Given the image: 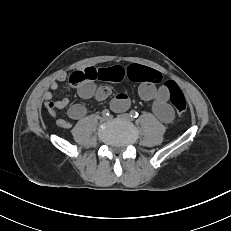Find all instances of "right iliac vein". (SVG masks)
<instances>
[{
  "label": "right iliac vein",
  "mask_w": 231,
  "mask_h": 231,
  "mask_svg": "<svg viewBox=\"0 0 231 231\" xmlns=\"http://www.w3.org/2000/svg\"><path fill=\"white\" fill-rule=\"evenodd\" d=\"M107 119H108V118H107V117H105V116L102 118V120H107Z\"/></svg>",
  "instance_id": "right-iliac-vein-1"
}]
</instances>
